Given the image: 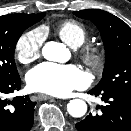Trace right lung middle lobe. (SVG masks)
Masks as SVG:
<instances>
[{"label": "right lung middle lobe", "mask_w": 131, "mask_h": 131, "mask_svg": "<svg viewBox=\"0 0 131 131\" xmlns=\"http://www.w3.org/2000/svg\"><path fill=\"white\" fill-rule=\"evenodd\" d=\"M36 22L0 17V78L19 75L14 61L16 43L23 31Z\"/></svg>", "instance_id": "1"}]
</instances>
